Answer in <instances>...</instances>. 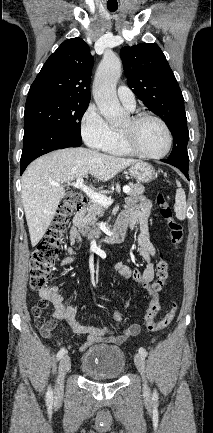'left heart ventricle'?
Returning a JSON list of instances; mask_svg holds the SVG:
<instances>
[{
    "instance_id": "1",
    "label": "left heart ventricle",
    "mask_w": 213,
    "mask_h": 433,
    "mask_svg": "<svg viewBox=\"0 0 213 433\" xmlns=\"http://www.w3.org/2000/svg\"><path fill=\"white\" fill-rule=\"evenodd\" d=\"M121 130L131 131L137 146L145 153L159 154L167 147V135L163 127L154 120H144L132 125L128 119Z\"/></svg>"
}]
</instances>
